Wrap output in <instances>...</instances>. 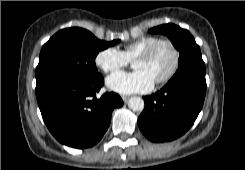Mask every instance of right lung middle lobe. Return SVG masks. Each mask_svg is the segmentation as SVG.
Wrapping results in <instances>:
<instances>
[{
    "instance_id": "right-lung-middle-lobe-1",
    "label": "right lung middle lobe",
    "mask_w": 245,
    "mask_h": 170,
    "mask_svg": "<svg viewBox=\"0 0 245 170\" xmlns=\"http://www.w3.org/2000/svg\"><path fill=\"white\" fill-rule=\"evenodd\" d=\"M120 40H98L82 28H67L57 32L42 47L36 68V92L68 80H84L100 76L95 58L99 51Z\"/></svg>"
}]
</instances>
